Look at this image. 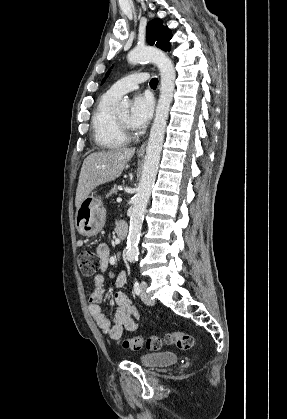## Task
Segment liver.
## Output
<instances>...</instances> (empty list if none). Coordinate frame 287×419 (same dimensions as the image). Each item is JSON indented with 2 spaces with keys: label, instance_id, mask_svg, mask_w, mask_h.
<instances>
[{
  "label": "liver",
  "instance_id": "1",
  "mask_svg": "<svg viewBox=\"0 0 287 419\" xmlns=\"http://www.w3.org/2000/svg\"><path fill=\"white\" fill-rule=\"evenodd\" d=\"M134 153V148H116L88 155L79 175L75 198L76 208H79L82 201L99 185L117 179Z\"/></svg>",
  "mask_w": 287,
  "mask_h": 419
}]
</instances>
